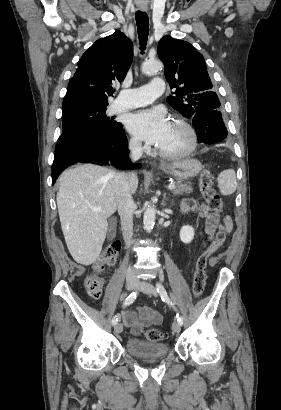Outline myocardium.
Wrapping results in <instances>:
<instances>
[{"label":"myocardium","instance_id":"1","mask_svg":"<svg viewBox=\"0 0 281 410\" xmlns=\"http://www.w3.org/2000/svg\"><path fill=\"white\" fill-rule=\"evenodd\" d=\"M173 123L184 128L189 135V144L184 149L177 152L164 151L157 147V152L160 156L168 159L182 158L191 154L197 147L198 136L194 126L188 122L186 119L181 117H175L172 120Z\"/></svg>","mask_w":281,"mask_h":410}]
</instances>
